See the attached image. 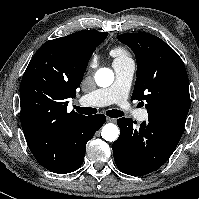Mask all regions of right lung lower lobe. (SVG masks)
<instances>
[{
  "label": "right lung lower lobe",
  "mask_w": 199,
  "mask_h": 199,
  "mask_svg": "<svg viewBox=\"0 0 199 199\" xmlns=\"http://www.w3.org/2000/svg\"><path fill=\"white\" fill-rule=\"evenodd\" d=\"M103 114L84 116L75 121L58 142L45 145L25 136L35 159L47 170L64 174L77 170L84 161L85 147L95 132L105 123Z\"/></svg>",
  "instance_id": "1"
}]
</instances>
